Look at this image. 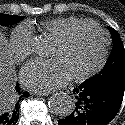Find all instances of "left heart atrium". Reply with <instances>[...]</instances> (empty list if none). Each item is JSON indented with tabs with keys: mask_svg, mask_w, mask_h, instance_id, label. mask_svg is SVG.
Masks as SVG:
<instances>
[{
	"mask_svg": "<svg viewBox=\"0 0 125 125\" xmlns=\"http://www.w3.org/2000/svg\"><path fill=\"white\" fill-rule=\"evenodd\" d=\"M73 75L62 59L33 60L21 70L22 83L37 92H48L65 85Z\"/></svg>",
	"mask_w": 125,
	"mask_h": 125,
	"instance_id": "1",
	"label": "left heart atrium"
}]
</instances>
